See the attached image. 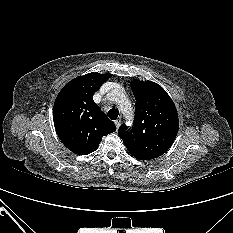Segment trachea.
Returning a JSON list of instances; mask_svg holds the SVG:
<instances>
[{"label": "trachea", "mask_w": 233, "mask_h": 233, "mask_svg": "<svg viewBox=\"0 0 233 233\" xmlns=\"http://www.w3.org/2000/svg\"><path fill=\"white\" fill-rule=\"evenodd\" d=\"M118 114H119L118 109L112 108L108 111L107 115L111 120H116L118 118Z\"/></svg>", "instance_id": "3493384b"}]
</instances>
